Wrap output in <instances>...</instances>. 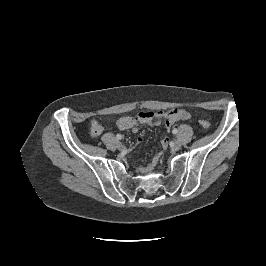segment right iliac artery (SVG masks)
<instances>
[{
  "label": "right iliac artery",
  "instance_id": "right-iliac-artery-1",
  "mask_svg": "<svg viewBox=\"0 0 266 266\" xmlns=\"http://www.w3.org/2000/svg\"><path fill=\"white\" fill-rule=\"evenodd\" d=\"M116 138H117L118 140H121V139L123 138V136H122L121 134H117V135H116Z\"/></svg>",
  "mask_w": 266,
  "mask_h": 266
}]
</instances>
